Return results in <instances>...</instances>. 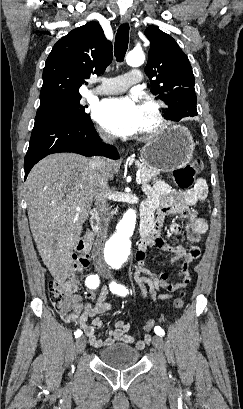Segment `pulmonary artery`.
<instances>
[{"label":"pulmonary artery","instance_id":"e3ab8cb5","mask_svg":"<svg viewBox=\"0 0 243 409\" xmlns=\"http://www.w3.org/2000/svg\"><path fill=\"white\" fill-rule=\"evenodd\" d=\"M141 77V72L137 69H133L128 73L114 78H104L100 80L101 84L96 87L93 92L98 95L121 93L130 86L138 83Z\"/></svg>","mask_w":243,"mask_h":409}]
</instances>
